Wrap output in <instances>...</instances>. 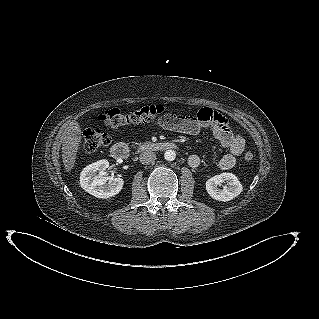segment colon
<instances>
[{"mask_svg":"<svg viewBox=\"0 0 319 319\" xmlns=\"http://www.w3.org/2000/svg\"><path fill=\"white\" fill-rule=\"evenodd\" d=\"M164 112L162 105L142 106L130 112H122L118 108L107 109L100 119L110 127H121L146 123L159 118ZM112 138L99 129H88L83 134L82 148L85 152H94L109 145ZM243 158L247 162L254 160L252 151H245Z\"/></svg>","mask_w":319,"mask_h":319,"instance_id":"colon-1","label":"colon"}]
</instances>
